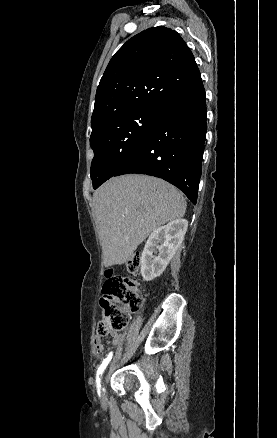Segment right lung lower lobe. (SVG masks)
Masks as SVG:
<instances>
[{"mask_svg":"<svg viewBox=\"0 0 277 438\" xmlns=\"http://www.w3.org/2000/svg\"><path fill=\"white\" fill-rule=\"evenodd\" d=\"M170 70L171 65L161 67ZM206 136V97L202 80L161 106L145 140L113 176L139 173L162 178L196 204Z\"/></svg>","mask_w":277,"mask_h":438,"instance_id":"1","label":"right lung lower lobe"}]
</instances>
